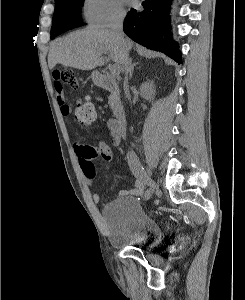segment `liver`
Instances as JSON below:
<instances>
[{"instance_id":"liver-1","label":"liver","mask_w":245,"mask_h":300,"mask_svg":"<svg viewBox=\"0 0 245 300\" xmlns=\"http://www.w3.org/2000/svg\"><path fill=\"white\" fill-rule=\"evenodd\" d=\"M128 41L129 50L132 42ZM109 52L110 58L124 70V53L121 42L112 30L84 29L58 39L50 48L48 65L53 69L56 64L92 70L104 64L103 54Z\"/></svg>"}]
</instances>
